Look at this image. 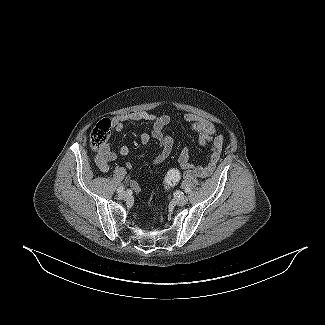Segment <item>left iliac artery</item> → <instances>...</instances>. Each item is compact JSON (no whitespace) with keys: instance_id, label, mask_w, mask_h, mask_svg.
Masks as SVG:
<instances>
[{"instance_id":"1","label":"left iliac artery","mask_w":325,"mask_h":325,"mask_svg":"<svg viewBox=\"0 0 325 325\" xmlns=\"http://www.w3.org/2000/svg\"><path fill=\"white\" fill-rule=\"evenodd\" d=\"M190 190L189 189H185V192L187 193V192H189Z\"/></svg>"}]
</instances>
